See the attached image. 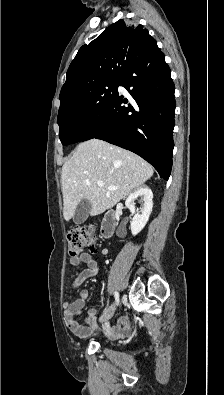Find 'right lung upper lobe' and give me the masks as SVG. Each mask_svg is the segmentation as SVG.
<instances>
[{
	"label": "right lung upper lobe",
	"instance_id": "right-lung-upper-lobe-1",
	"mask_svg": "<svg viewBox=\"0 0 224 395\" xmlns=\"http://www.w3.org/2000/svg\"><path fill=\"white\" fill-rule=\"evenodd\" d=\"M154 45L156 41L142 25H127L122 19L115 22L79 49L67 71L60 101L99 82L122 78L131 65Z\"/></svg>",
	"mask_w": 224,
	"mask_h": 395
}]
</instances>
